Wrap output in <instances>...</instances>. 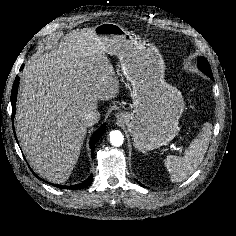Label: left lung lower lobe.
Instances as JSON below:
<instances>
[{"mask_svg": "<svg viewBox=\"0 0 236 236\" xmlns=\"http://www.w3.org/2000/svg\"><path fill=\"white\" fill-rule=\"evenodd\" d=\"M211 79H213V76H209Z\"/></svg>", "mask_w": 236, "mask_h": 236, "instance_id": "obj_1", "label": "left lung lower lobe"}]
</instances>
